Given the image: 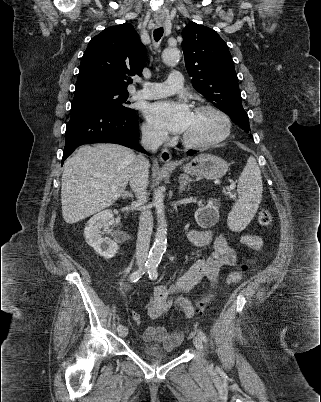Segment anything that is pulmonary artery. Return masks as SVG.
<instances>
[{
  "label": "pulmonary artery",
  "mask_w": 321,
  "mask_h": 402,
  "mask_svg": "<svg viewBox=\"0 0 321 402\" xmlns=\"http://www.w3.org/2000/svg\"><path fill=\"white\" fill-rule=\"evenodd\" d=\"M182 85V74L178 71H174L165 82H143L142 88L135 92V96L141 99L161 98L176 93L182 88Z\"/></svg>",
  "instance_id": "e3ab8cb5"
}]
</instances>
